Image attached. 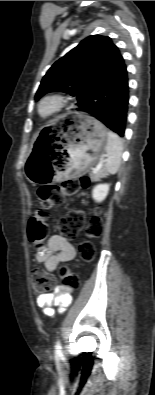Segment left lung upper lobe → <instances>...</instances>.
<instances>
[{"mask_svg": "<svg viewBox=\"0 0 155 395\" xmlns=\"http://www.w3.org/2000/svg\"><path fill=\"white\" fill-rule=\"evenodd\" d=\"M123 60L118 47L108 36L92 35L56 61L43 77L35 95L63 91L76 96L77 110L100 84L102 78Z\"/></svg>", "mask_w": 155, "mask_h": 395, "instance_id": "obj_1", "label": "left lung upper lobe"}]
</instances>
